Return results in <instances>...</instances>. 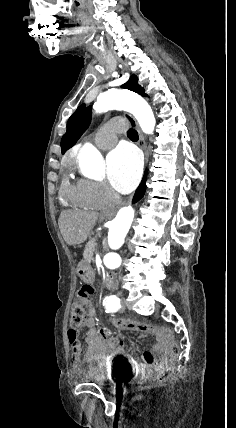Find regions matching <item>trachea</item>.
I'll return each mask as SVG.
<instances>
[{
    "instance_id": "1",
    "label": "trachea",
    "mask_w": 236,
    "mask_h": 428,
    "mask_svg": "<svg viewBox=\"0 0 236 428\" xmlns=\"http://www.w3.org/2000/svg\"><path fill=\"white\" fill-rule=\"evenodd\" d=\"M127 136L131 139V140H138V133L136 130H134L133 128L129 129L127 132Z\"/></svg>"
}]
</instances>
